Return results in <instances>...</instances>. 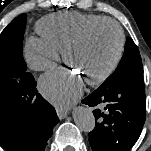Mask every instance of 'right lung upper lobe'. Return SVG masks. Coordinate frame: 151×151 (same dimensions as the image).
Returning a JSON list of instances; mask_svg holds the SVG:
<instances>
[{"label":"right lung upper lobe","mask_w":151,"mask_h":151,"mask_svg":"<svg viewBox=\"0 0 151 151\" xmlns=\"http://www.w3.org/2000/svg\"><path fill=\"white\" fill-rule=\"evenodd\" d=\"M13 111L10 106L0 107V142H6L13 128Z\"/></svg>","instance_id":"right-lung-upper-lobe-1"}]
</instances>
